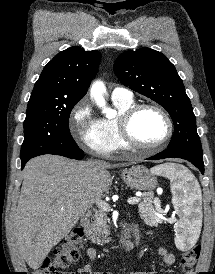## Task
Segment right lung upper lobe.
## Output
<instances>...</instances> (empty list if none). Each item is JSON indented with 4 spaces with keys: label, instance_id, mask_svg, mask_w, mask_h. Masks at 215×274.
<instances>
[{
    "label": "right lung upper lobe",
    "instance_id": "right-lung-upper-lobe-1",
    "mask_svg": "<svg viewBox=\"0 0 215 274\" xmlns=\"http://www.w3.org/2000/svg\"><path fill=\"white\" fill-rule=\"evenodd\" d=\"M101 54L73 46L58 53L43 69L29 102H78L97 72Z\"/></svg>",
    "mask_w": 215,
    "mask_h": 274
}]
</instances>
